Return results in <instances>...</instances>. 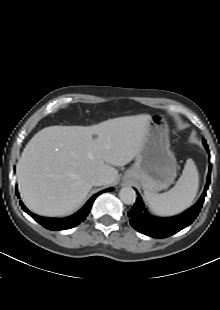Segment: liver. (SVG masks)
I'll return each mask as SVG.
<instances>
[{
	"mask_svg": "<svg viewBox=\"0 0 220 310\" xmlns=\"http://www.w3.org/2000/svg\"><path fill=\"white\" fill-rule=\"evenodd\" d=\"M151 116L109 119L92 126H49L24 148L17 165L20 195L29 210L48 217L70 214L92 188L95 175L117 180L141 151Z\"/></svg>",
	"mask_w": 220,
	"mask_h": 310,
	"instance_id": "6515ba94",
	"label": "liver"
}]
</instances>
